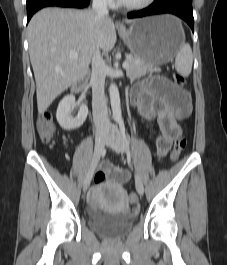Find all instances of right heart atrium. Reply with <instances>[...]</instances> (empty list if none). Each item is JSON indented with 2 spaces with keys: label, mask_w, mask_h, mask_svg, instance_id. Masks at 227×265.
I'll return each instance as SVG.
<instances>
[{
  "label": "right heart atrium",
  "mask_w": 227,
  "mask_h": 265,
  "mask_svg": "<svg viewBox=\"0 0 227 265\" xmlns=\"http://www.w3.org/2000/svg\"><path fill=\"white\" fill-rule=\"evenodd\" d=\"M98 1L104 5H111L113 3V0H98Z\"/></svg>",
  "instance_id": "obj_1"
}]
</instances>
